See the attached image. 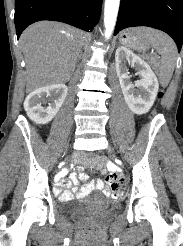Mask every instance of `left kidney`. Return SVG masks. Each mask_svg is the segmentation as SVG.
Returning a JSON list of instances; mask_svg holds the SVG:
<instances>
[{
  "instance_id": "5707ae66",
  "label": "left kidney",
  "mask_w": 183,
  "mask_h": 246,
  "mask_svg": "<svg viewBox=\"0 0 183 246\" xmlns=\"http://www.w3.org/2000/svg\"><path fill=\"white\" fill-rule=\"evenodd\" d=\"M131 64L141 77L132 83L126 63ZM115 66L124 99L129 109L137 115L147 113L153 106L159 83L147 62L124 46L117 48Z\"/></svg>"
}]
</instances>
